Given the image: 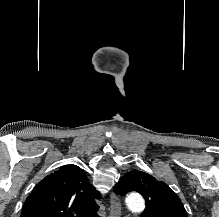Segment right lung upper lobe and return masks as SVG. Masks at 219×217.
Listing matches in <instances>:
<instances>
[{
  "instance_id": "1",
  "label": "right lung upper lobe",
  "mask_w": 219,
  "mask_h": 217,
  "mask_svg": "<svg viewBox=\"0 0 219 217\" xmlns=\"http://www.w3.org/2000/svg\"><path fill=\"white\" fill-rule=\"evenodd\" d=\"M100 197L80 167L66 165L35 186L21 217H98Z\"/></svg>"
}]
</instances>
